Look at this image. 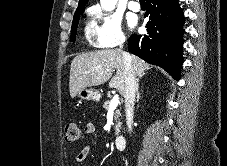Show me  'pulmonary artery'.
Returning <instances> with one entry per match:
<instances>
[{"label": "pulmonary artery", "instance_id": "1", "mask_svg": "<svg viewBox=\"0 0 227 166\" xmlns=\"http://www.w3.org/2000/svg\"><path fill=\"white\" fill-rule=\"evenodd\" d=\"M128 7L131 11L138 12L140 11V4L138 0H130Z\"/></svg>", "mask_w": 227, "mask_h": 166}]
</instances>
